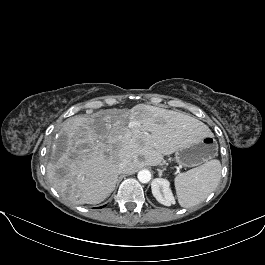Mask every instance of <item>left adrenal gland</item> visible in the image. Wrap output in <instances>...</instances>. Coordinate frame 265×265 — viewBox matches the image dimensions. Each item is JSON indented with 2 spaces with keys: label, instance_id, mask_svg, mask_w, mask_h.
<instances>
[{
  "label": "left adrenal gland",
  "instance_id": "left-adrenal-gland-1",
  "mask_svg": "<svg viewBox=\"0 0 265 265\" xmlns=\"http://www.w3.org/2000/svg\"><path fill=\"white\" fill-rule=\"evenodd\" d=\"M159 175H162L163 170L158 169Z\"/></svg>",
  "mask_w": 265,
  "mask_h": 265
}]
</instances>
